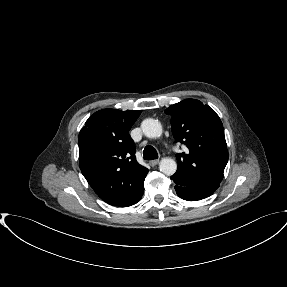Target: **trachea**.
<instances>
[{"instance_id": "obj_1", "label": "trachea", "mask_w": 287, "mask_h": 287, "mask_svg": "<svg viewBox=\"0 0 287 287\" xmlns=\"http://www.w3.org/2000/svg\"><path fill=\"white\" fill-rule=\"evenodd\" d=\"M143 156L145 160H153L158 158V153L154 147L148 145L144 148Z\"/></svg>"}]
</instances>
